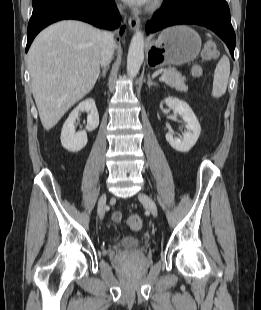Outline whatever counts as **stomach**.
Wrapping results in <instances>:
<instances>
[{
  "label": "stomach",
  "instance_id": "stomach-1",
  "mask_svg": "<svg viewBox=\"0 0 261 310\" xmlns=\"http://www.w3.org/2000/svg\"><path fill=\"white\" fill-rule=\"evenodd\" d=\"M201 49V38L184 25L163 30L148 46L149 64L154 67L182 65L193 61Z\"/></svg>",
  "mask_w": 261,
  "mask_h": 310
}]
</instances>
